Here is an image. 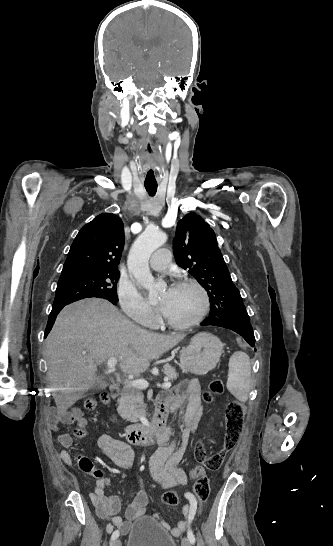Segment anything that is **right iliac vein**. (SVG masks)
Returning <instances> with one entry per match:
<instances>
[{"instance_id":"obj_1","label":"right iliac vein","mask_w":333,"mask_h":546,"mask_svg":"<svg viewBox=\"0 0 333 546\" xmlns=\"http://www.w3.org/2000/svg\"><path fill=\"white\" fill-rule=\"evenodd\" d=\"M111 546H121V540H120V539H115V540L111 543Z\"/></svg>"}]
</instances>
